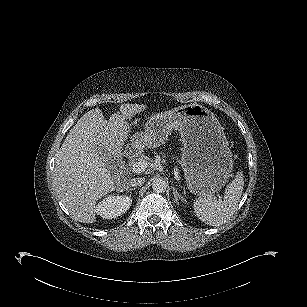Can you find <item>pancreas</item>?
<instances>
[{"label": "pancreas", "mask_w": 307, "mask_h": 307, "mask_svg": "<svg viewBox=\"0 0 307 307\" xmlns=\"http://www.w3.org/2000/svg\"><path fill=\"white\" fill-rule=\"evenodd\" d=\"M156 160H160V157L156 156Z\"/></svg>", "instance_id": "pancreas-1"}]
</instances>
